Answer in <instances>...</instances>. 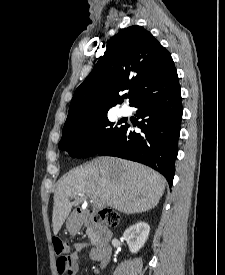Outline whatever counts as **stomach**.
<instances>
[{
    "label": "stomach",
    "instance_id": "1",
    "mask_svg": "<svg viewBox=\"0 0 225 275\" xmlns=\"http://www.w3.org/2000/svg\"><path fill=\"white\" fill-rule=\"evenodd\" d=\"M67 228L70 232L74 233L79 229L78 225H73L72 224V219L69 218L68 222H67Z\"/></svg>",
    "mask_w": 225,
    "mask_h": 275
}]
</instances>
